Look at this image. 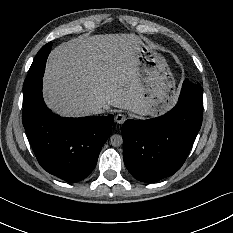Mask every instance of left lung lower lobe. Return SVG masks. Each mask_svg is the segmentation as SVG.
<instances>
[{
    "label": "left lung lower lobe",
    "instance_id": "left-lung-lower-lobe-1",
    "mask_svg": "<svg viewBox=\"0 0 233 233\" xmlns=\"http://www.w3.org/2000/svg\"><path fill=\"white\" fill-rule=\"evenodd\" d=\"M202 117L203 89L186 79L171 111L149 120H126L122 137L128 171L147 183L175 174L190 152Z\"/></svg>",
    "mask_w": 233,
    "mask_h": 233
}]
</instances>
